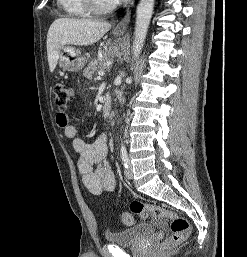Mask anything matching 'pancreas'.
I'll return each mask as SVG.
<instances>
[{"instance_id": "cf45deb5", "label": "pancreas", "mask_w": 247, "mask_h": 257, "mask_svg": "<svg viewBox=\"0 0 247 257\" xmlns=\"http://www.w3.org/2000/svg\"><path fill=\"white\" fill-rule=\"evenodd\" d=\"M106 69L105 57L102 59H94L89 62L88 66L83 70V76L86 78H91L92 75L97 71V69Z\"/></svg>"}]
</instances>
